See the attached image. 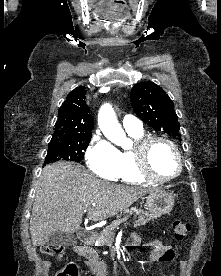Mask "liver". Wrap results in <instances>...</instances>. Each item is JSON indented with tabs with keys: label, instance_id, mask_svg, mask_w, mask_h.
<instances>
[{
	"label": "liver",
	"instance_id": "6515ba94",
	"mask_svg": "<svg viewBox=\"0 0 221 276\" xmlns=\"http://www.w3.org/2000/svg\"><path fill=\"white\" fill-rule=\"evenodd\" d=\"M152 191L97 179L73 162L48 165L37 182L30 219L32 243L44 246L56 230L77 232L84 210L88 211L89 220L100 221L130 207Z\"/></svg>",
	"mask_w": 221,
	"mask_h": 276
}]
</instances>
